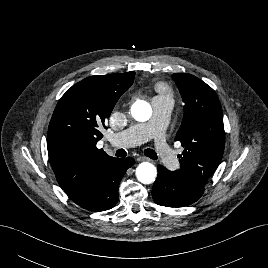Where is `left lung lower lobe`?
Masks as SVG:
<instances>
[{
    "mask_svg": "<svg viewBox=\"0 0 268 268\" xmlns=\"http://www.w3.org/2000/svg\"><path fill=\"white\" fill-rule=\"evenodd\" d=\"M158 176L152 188L155 203L166 207H185L196 202L204 189L191 185L175 171L157 166Z\"/></svg>",
    "mask_w": 268,
    "mask_h": 268,
    "instance_id": "0a47b994",
    "label": "left lung lower lobe"
}]
</instances>
